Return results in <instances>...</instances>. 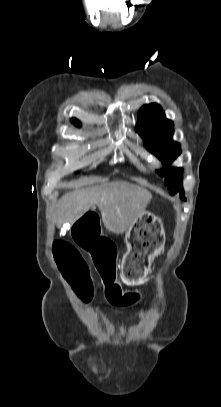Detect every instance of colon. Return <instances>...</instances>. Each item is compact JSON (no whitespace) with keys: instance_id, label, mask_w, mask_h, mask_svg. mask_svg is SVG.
I'll return each mask as SVG.
<instances>
[{"instance_id":"colon-1","label":"colon","mask_w":221,"mask_h":407,"mask_svg":"<svg viewBox=\"0 0 221 407\" xmlns=\"http://www.w3.org/2000/svg\"><path fill=\"white\" fill-rule=\"evenodd\" d=\"M99 223L100 218L96 216V212L86 210L84 216H78L74 221L71 237L77 239L78 244L91 253L107 292L108 306H116L118 311H124L136 303L138 293L134 286H129L123 293L116 283V252L113 243L104 238V231ZM54 254L65 278L82 298L89 300L93 295V284L89 268L78 250L67 242H56Z\"/></svg>"}]
</instances>
